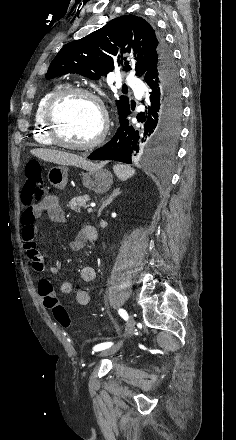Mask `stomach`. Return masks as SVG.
Instances as JSON below:
<instances>
[{"instance_id":"1","label":"stomach","mask_w":236,"mask_h":440,"mask_svg":"<svg viewBox=\"0 0 236 440\" xmlns=\"http://www.w3.org/2000/svg\"><path fill=\"white\" fill-rule=\"evenodd\" d=\"M68 168L62 165L53 166L48 171V180L57 189H64L68 181ZM84 187L95 193L108 191L113 183L112 174L101 166L88 169L82 175Z\"/></svg>"}]
</instances>
